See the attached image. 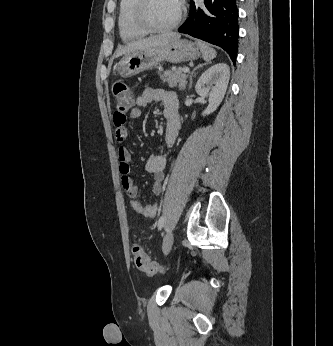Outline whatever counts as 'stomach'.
<instances>
[{
    "instance_id": "0dacf381",
    "label": "stomach",
    "mask_w": 333,
    "mask_h": 346,
    "mask_svg": "<svg viewBox=\"0 0 333 346\" xmlns=\"http://www.w3.org/2000/svg\"><path fill=\"white\" fill-rule=\"evenodd\" d=\"M201 54L197 44L177 39L157 47L136 50L125 54L117 63V72L123 78L152 69L163 61L180 63L197 59Z\"/></svg>"
}]
</instances>
